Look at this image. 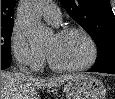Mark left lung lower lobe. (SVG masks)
<instances>
[{"label": "left lung lower lobe", "instance_id": "1", "mask_svg": "<svg viewBox=\"0 0 115 99\" xmlns=\"http://www.w3.org/2000/svg\"><path fill=\"white\" fill-rule=\"evenodd\" d=\"M88 71L115 74V65L107 66V67H104V68H94V67H92Z\"/></svg>", "mask_w": 115, "mask_h": 99}]
</instances>
